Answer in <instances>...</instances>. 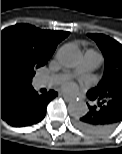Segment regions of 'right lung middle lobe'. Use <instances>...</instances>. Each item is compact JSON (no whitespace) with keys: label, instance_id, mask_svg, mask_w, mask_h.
<instances>
[{"label":"right lung middle lobe","instance_id":"right-lung-middle-lobe-1","mask_svg":"<svg viewBox=\"0 0 122 154\" xmlns=\"http://www.w3.org/2000/svg\"><path fill=\"white\" fill-rule=\"evenodd\" d=\"M1 65L8 73L24 79L29 85L35 75L34 70L40 67L11 43L1 45Z\"/></svg>","mask_w":122,"mask_h":154}]
</instances>
